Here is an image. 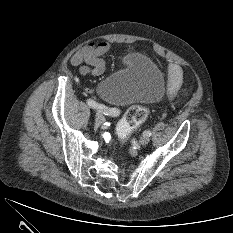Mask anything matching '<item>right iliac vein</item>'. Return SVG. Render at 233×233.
Returning a JSON list of instances; mask_svg holds the SVG:
<instances>
[{"label": "right iliac vein", "mask_w": 233, "mask_h": 233, "mask_svg": "<svg viewBox=\"0 0 233 233\" xmlns=\"http://www.w3.org/2000/svg\"><path fill=\"white\" fill-rule=\"evenodd\" d=\"M103 121H104V117L99 112H96V116H95L96 126L101 125L103 123Z\"/></svg>", "instance_id": "obj_1"}]
</instances>
